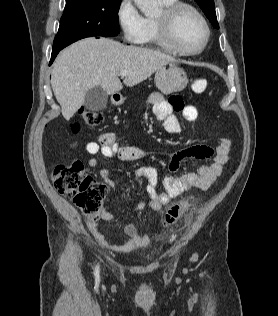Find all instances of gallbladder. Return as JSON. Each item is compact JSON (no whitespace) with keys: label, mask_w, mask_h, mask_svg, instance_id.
Masks as SVG:
<instances>
[{"label":"gallbladder","mask_w":278,"mask_h":316,"mask_svg":"<svg viewBox=\"0 0 278 316\" xmlns=\"http://www.w3.org/2000/svg\"><path fill=\"white\" fill-rule=\"evenodd\" d=\"M108 94L101 86H95L88 90L84 98V107L92 112L101 111L106 108Z\"/></svg>","instance_id":"bac80fb5"}]
</instances>
